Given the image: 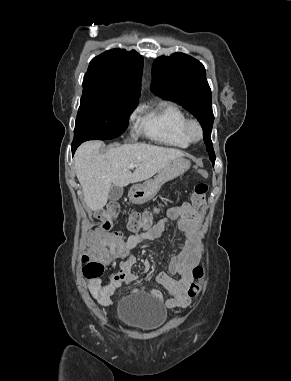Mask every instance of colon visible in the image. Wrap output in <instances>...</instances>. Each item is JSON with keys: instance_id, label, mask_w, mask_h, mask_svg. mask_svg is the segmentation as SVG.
Masks as SVG:
<instances>
[{"instance_id": "colon-1", "label": "colon", "mask_w": 291, "mask_h": 381, "mask_svg": "<svg viewBox=\"0 0 291 381\" xmlns=\"http://www.w3.org/2000/svg\"><path fill=\"white\" fill-rule=\"evenodd\" d=\"M208 191V186L201 182L195 186L192 200L196 206H200L204 203L205 197ZM120 207L117 203H110L104 209L97 214L99 220V226L96 229L100 235L109 233L114 222L118 218ZM153 213L147 212L141 214H131L128 219V229L130 231H139L141 229H147L152 225ZM106 246L102 243V240H98L93 249H87V252L83 256L85 263L84 271L88 278L100 277L107 265L106 260ZM193 282L187 291L190 298L197 296L201 290V281L204 277V269L202 266H195L192 271Z\"/></svg>"}]
</instances>
